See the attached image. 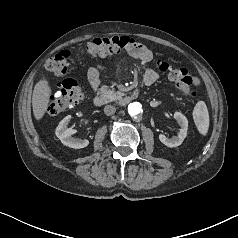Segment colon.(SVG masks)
<instances>
[{"label": "colon", "instance_id": "5ec220e1", "mask_svg": "<svg viewBox=\"0 0 238 238\" xmlns=\"http://www.w3.org/2000/svg\"><path fill=\"white\" fill-rule=\"evenodd\" d=\"M139 42L128 36L96 37L80 47L83 54L90 56H105L108 54L131 52L138 46ZM70 50H62L50 57L45 68L56 74L65 75L69 70ZM158 69L166 73L176 88L186 97H194V87L198 84L189 73L188 69L176 66L168 60L153 59ZM83 98L82 81L79 78L65 79L59 89L50 96L47 112L50 115H58L67 109L73 108Z\"/></svg>", "mask_w": 238, "mask_h": 238}]
</instances>
